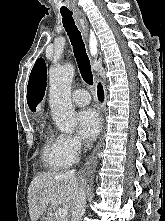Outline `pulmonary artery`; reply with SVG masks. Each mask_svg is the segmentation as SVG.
<instances>
[{"mask_svg":"<svg viewBox=\"0 0 165 221\" xmlns=\"http://www.w3.org/2000/svg\"><path fill=\"white\" fill-rule=\"evenodd\" d=\"M72 101L78 106H86L90 103V95L85 89H77L72 94Z\"/></svg>","mask_w":165,"mask_h":221,"instance_id":"obj_1","label":"pulmonary artery"}]
</instances>
